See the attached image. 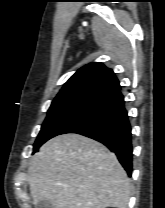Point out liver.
Masks as SVG:
<instances>
[{
    "mask_svg": "<svg viewBox=\"0 0 165 208\" xmlns=\"http://www.w3.org/2000/svg\"><path fill=\"white\" fill-rule=\"evenodd\" d=\"M33 202L53 208H127L130 181L116 155L79 135H58L41 146L28 168Z\"/></svg>",
    "mask_w": 165,
    "mask_h": 208,
    "instance_id": "1",
    "label": "liver"
}]
</instances>
